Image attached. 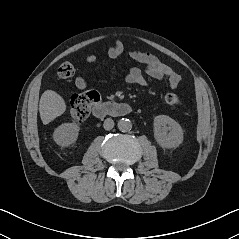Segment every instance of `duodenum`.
I'll list each match as a JSON object with an SVG mask.
<instances>
[{
	"instance_id": "obj_1",
	"label": "duodenum",
	"mask_w": 239,
	"mask_h": 239,
	"mask_svg": "<svg viewBox=\"0 0 239 239\" xmlns=\"http://www.w3.org/2000/svg\"><path fill=\"white\" fill-rule=\"evenodd\" d=\"M132 111L133 108L128 103L107 102L93 106V114L96 118H103L107 115L121 117L131 114Z\"/></svg>"
}]
</instances>
